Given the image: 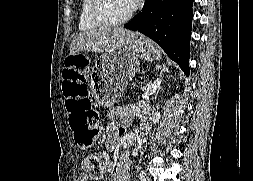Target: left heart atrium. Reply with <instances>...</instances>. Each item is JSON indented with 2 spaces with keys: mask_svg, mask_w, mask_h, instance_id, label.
Segmentation results:
<instances>
[{
  "mask_svg": "<svg viewBox=\"0 0 253 181\" xmlns=\"http://www.w3.org/2000/svg\"><path fill=\"white\" fill-rule=\"evenodd\" d=\"M142 0H128V3L132 9H136L140 6Z\"/></svg>",
  "mask_w": 253,
  "mask_h": 181,
  "instance_id": "obj_1",
  "label": "left heart atrium"
}]
</instances>
